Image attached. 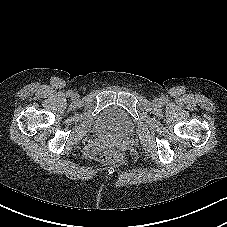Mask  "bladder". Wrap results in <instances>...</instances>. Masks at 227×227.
Here are the masks:
<instances>
[{
    "label": "bladder",
    "instance_id": "obj_1",
    "mask_svg": "<svg viewBox=\"0 0 227 227\" xmlns=\"http://www.w3.org/2000/svg\"><path fill=\"white\" fill-rule=\"evenodd\" d=\"M96 127L98 131L117 136H127L134 128L129 115L121 108L110 106L98 116Z\"/></svg>",
    "mask_w": 227,
    "mask_h": 227
}]
</instances>
